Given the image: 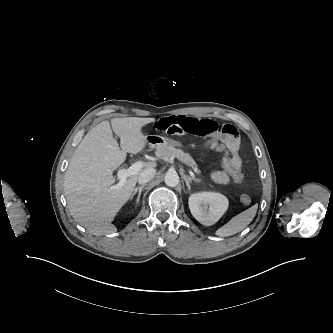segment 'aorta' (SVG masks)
I'll return each instance as SVG.
<instances>
[{
  "label": "aorta",
  "instance_id": "1",
  "mask_svg": "<svg viewBox=\"0 0 333 333\" xmlns=\"http://www.w3.org/2000/svg\"><path fill=\"white\" fill-rule=\"evenodd\" d=\"M165 183L169 187H175L179 184V176L176 172H168L165 175Z\"/></svg>",
  "mask_w": 333,
  "mask_h": 333
}]
</instances>
